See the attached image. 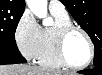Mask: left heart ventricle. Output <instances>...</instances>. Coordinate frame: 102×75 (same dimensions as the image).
<instances>
[{"label": "left heart ventricle", "mask_w": 102, "mask_h": 75, "mask_svg": "<svg viewBox=\"0 0 102 75\" xmlns=\"http://www.w3.org/2000/svg\"><path fill=\"white\" fill-rule=\"evenodd\" d=\"M65 49L71 62L84 60L90 53L89 44L85 36L79 31L70 34L66 40Z\"/></svg>", "instance_id": "1"}]
</instances>
